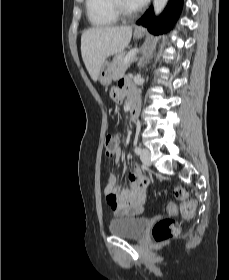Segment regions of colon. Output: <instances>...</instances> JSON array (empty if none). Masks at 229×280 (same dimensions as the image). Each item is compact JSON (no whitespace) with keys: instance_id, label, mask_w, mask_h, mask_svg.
<instances>
[{"instance_id":"obj_1","label":"colon","mask_w":229,"mask_h":280,"mask_svg":"<svg viewBox=\"0 0 229 280\" xmlns=\"http://www.w3.org/2000/svg\"><path fill=\"white\" fill-rule=\"evenodd\" d=\"M119 140L120 136L117 133L108 134L105 137L104 152L107 157H111L114 154ZM174 194L182 202L180 208L181 214L187 218H192L195 216L197 212V206L193 200L188 198L187 191L184 188L177 187L174 189ZM126 203H130V201H127ZM179 230V225L173 219L162 218L156 221L152 230V236L156 242H163L177 234Z\"/></svg>"}]
</instances>
